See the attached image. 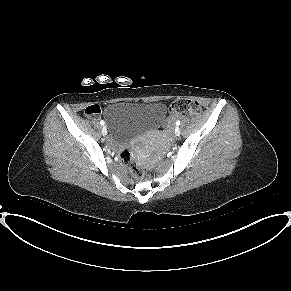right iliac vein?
Listing matches in <instances>:
<instances>
[{
    "instance_id": "obj_1",
    "label": "right iliac vein",
    "mask_w": 291,
    "mask_h": 291,
    "mask_svg": "<svg viewBox=\"0 0 291 291\" xmlns=\"http://www.w3.org/2000/svg\"><path fill=\"white\" fill-rule=\"evenodd\" d=\"M102 134L104 136L107 134V128L105 126L102 128Z\"/></svg>"
}]
</instances>
